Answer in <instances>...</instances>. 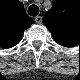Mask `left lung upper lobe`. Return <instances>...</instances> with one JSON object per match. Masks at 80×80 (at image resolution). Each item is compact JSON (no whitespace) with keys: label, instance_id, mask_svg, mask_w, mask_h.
Masks as SVG:
<instances>
[{"label":"left lung upper lobe","instance_id":"obj_1","mask_svg":"<svg viewBox=\"0 0 80 80\" xmlns=\"http://www.w3.org/2000/svg\"><path fill=\"white\" fill-rule=\"evenodd\" d=\"M69 0H54L52 9L44 15V23L53 35L54 39L61 45L74 43V32L79 26L74 25V18L68 4Z\"/></svg>","mask_w":80,"mask_h":80}]
</instances>
